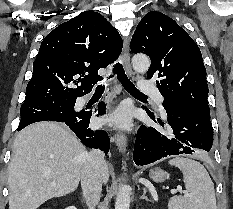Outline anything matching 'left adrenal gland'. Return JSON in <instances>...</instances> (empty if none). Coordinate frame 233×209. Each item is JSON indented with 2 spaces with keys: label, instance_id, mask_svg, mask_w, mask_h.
Instances as JSON below:
<instances>
[{
  "label": "left adrenal gland",
  "instance_id": "1",
  "mask_svg": "<svg viewBox=\"0 0 233 209\" xmlns=\"http://www.w3.org/2000/svg\"><path fill=\"white\" fill-rule=\"evenodd\" d=\"M146 192H147V190L143 189V195L141 196V199L146 200V201H150L146 196Z\"/></svg>",
  "mask_w": 233,
  "mask_h": 209
}]
</instances>
